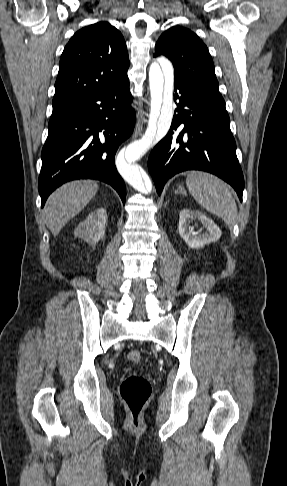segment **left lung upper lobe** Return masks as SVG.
Instances as JSON below:
<instances>
[{
    "label": "left lung upper lobe",
    "mask_w": 287,
    "mask_h": 486,
    "mask_svg": "<svg viewBox=\"0 0 287 486\" xmlns=\"http://www.w3.org/2000/svg\"><path fill=\"white\" fill-rule=\"evenodd\" d=\"M159 55L171 60L175 78L192 83L214 102L225 106L211 55L195 33L180 26L168 29L156 43L154 56Z\"/></svg>",
    "instance_id": "obj_1"
}]
</instances>
